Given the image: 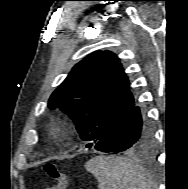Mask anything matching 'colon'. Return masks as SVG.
<instances>
[{
	"instance_id": "5ec220e1",
	"label": "colon",
	"mask_w": 188,
	"mask_h": 189,
	"mask_svg": "<svg viewBox=\"0 0 188 189\" xmlns=\"http://www.w3.org/2000/svg\"><path fill=\"white\" fill-rule=\"evenodd\" d=\"M43 168L45 174L54 181V185L48 189H67V175L60 170L57 164L53 162H47L44 164Z\"/></svg>"
}]
</instances>
